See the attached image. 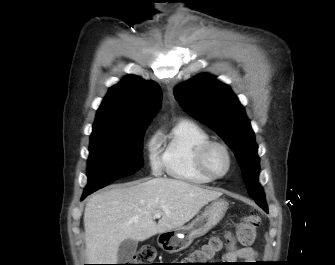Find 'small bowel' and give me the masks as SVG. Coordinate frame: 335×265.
<instances>
[{
	"label": "small bowel",
	"mask_w": 335,
	"mask_h": 265,
	"mask_svg": "<svg viewBox=\"0 0 335 265\" xmlns=\"http://www.w3.org/2000/svg\"><path fill=\"white\" fill-rule=\"evenodd\" d=\"M257 258V252L252 247H238L235 244H227L226 251L221 260L222 263H235V261L252 262Z\"/></svg>",
	"instance_id": "c3829d8e"
}]
</instances>
